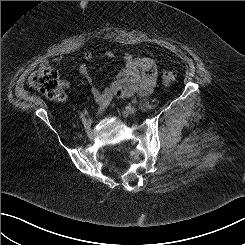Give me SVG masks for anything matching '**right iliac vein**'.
I'll list each match as a JSON object with an SVG mask.
<instances>
[{
    "instance_id": "1",
    "label": "right iliac vein",
    "mask_w": 245,
    "mask_h": 245,
    "mask_svg": "<svg viewBox=\"0 0 245 245\" xmlns=\"http://www.w3.org/2000/svg\"><path fill=\"white\" fill-rule=\"evenodd\" d=\"M82 124L86 127L88 125V120L87 118L82 119Z\"/></svg>"
}]
</instances>
